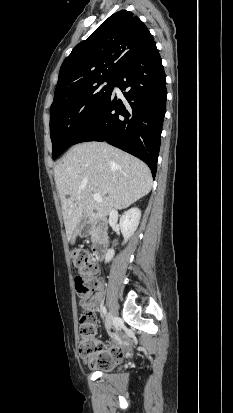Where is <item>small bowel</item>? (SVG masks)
I'll return each mask as SVG.
<instances>
[{
	"label": "small bowel",
	"instance_id": "obj_1",
	"mask_svg": "<svg viewBox=\"0 0 233 413\" xmlns=\"http://www.w3.org/2000/svg\"><path fill=\"white\" fill-rule=\"evenodd\" d=\"M94 291L92 296L88 294L80 299V306L83 309L92 311H99L101 309L105 293L104 284L97 281V286ZM128 346L129 342L124 336L112 334L109 338L108 346L100 344V356H114L116 354L123 356L124 352L128 349Z\"/></svg>",
	"mask_w": 233,
	"mask_h": 413
}]
</instances>
